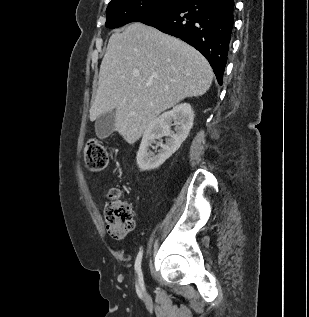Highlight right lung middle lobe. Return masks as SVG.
Masks as SVG:
<instances>
[{"label":"right lung middle lobe","instance_id":"obj_1","mask_svg":"<svg viewBox=\"0 0 309 317\" xmlns=\"http://www.w3.org/2000/svg\"><path fill=\"white\" fill-rule=\"evenodd\" d=\"M186 0H111L106 14V27L118 28L133 22L140 16L169 8Z\"/></svg>","mask_w":309,"mask_h":317}]
</instances>
